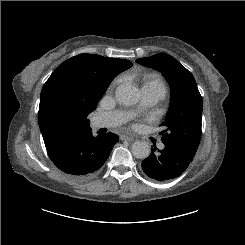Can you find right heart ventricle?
Returning a JSON list of instances; mask_svg holds the SVG:
<instances>
[{
	"mask_svg": "<svg viewBox=\"0 0 245 245\" xmlns=\"http://www.w3.org/2000/svg\"><path fill=\"white\" fill-rule=\"evenodd\" d=\"M142 90L160 94L162 97L167 93L166 84L162 77L157 73H149L145 75Z\"/></svg>",
	"mask_w": 245,
	"mask_h": 245,
	"instance_id": "e07e8e85",
	"label": "right heart ventricle"
}]
</instances>
